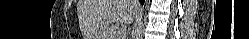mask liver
Instances as JSON below:
<instances>
[{
	"label": "liver",
	"mask_w": 249,
	"mask_h": 39,
	"mask_svg": "<svg viewBox=\"0 0 249 39\" xmlns=\"http://www.w3.org/2000/svg\"><path fill=\"white\" fill-rule=\"evenodd\" d=\"M135 0H80L78 14L85 39H94L109 24L129 23L137 10Z\"/></svg>",
	"instance_id": "6515ba94"
}]
</instances>
